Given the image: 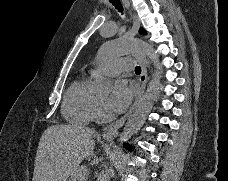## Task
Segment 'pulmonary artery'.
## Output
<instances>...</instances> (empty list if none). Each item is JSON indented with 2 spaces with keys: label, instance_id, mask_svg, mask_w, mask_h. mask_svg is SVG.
I'll list each match as a JSON object with an SVG mask.
<instances>
[{
  "label": "pulmonary artery",
  "instance_id": "pulmonary-artery-1",
  "mask_svg": "<svg viewBox=\"0 0 228 181\" xmlns=\"http://www.w3.org/2000/svg\"><path fill=\"white\" fill-rule=\"evenodd\" d=\"M107 61L113 62L114 58H107ZM115 61L119 62L118 65H105V68L103 70H120V67H124V71H134V64L131 62V57L115 58Z\"/></svg>",
  "mask_w": 228,
  "mask_h": 181
}]
</instances>
